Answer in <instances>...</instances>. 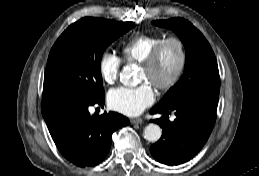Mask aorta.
I'll list each match as a JSON object with an SVG mask.
<instances>
[{
  "label": "aorta",
  "instance_id": "aorta-1",
  "mask_svg": "<svg viewBox=\"0 0 259 176\" xmlns=\"http://www.w3.org/2000/svg\"><path fill=\"white\" fill-rule=\"evenodd\" d=\"M136 72L132 65H127L120 73V81L125 86H132L136 84L137 79L135 77ZM162 135V130L157 124H149L144 129V138L149 142H157Z\"/></svg>",
  "mask_w": 259,
  "mask_h": 176
}]
</instances>
